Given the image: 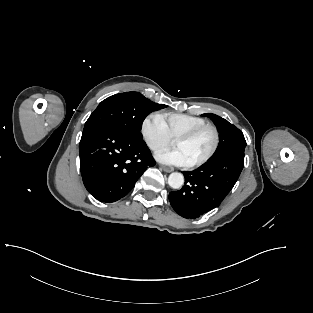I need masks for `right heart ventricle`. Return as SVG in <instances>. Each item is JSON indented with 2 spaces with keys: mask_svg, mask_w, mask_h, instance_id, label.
Masks as SVG:
<instances>
[{
  "mask_svg": "<svg viewBox=\"0 0 313 313\" xmlns=\"http://www.w3.org/2000/svg\"><path fill=\"white\" fill-rule=\"evenodd\" d=\"M160 116L172 140L199 125L207 123L204 118L189 114L167 112L160 114Z\"/></svg>",
  "mask_w": 313,
  "mask_h": 313,
  "instance_id": "e07e8e85",
  "label": "right heart ventricle"
}]
</instances>
